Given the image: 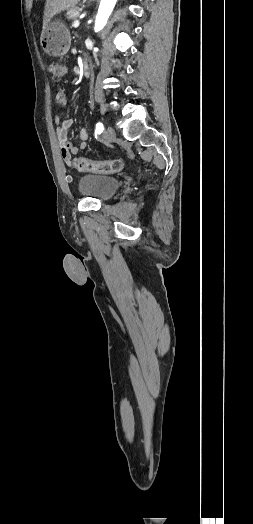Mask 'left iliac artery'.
<instances>
[{
    "mask_svg": "<svg viewBox=\"0 0 253 524\" xmlns=\"http://www.w3.org/2000/svg\"><path fill=\"white\" fill-rule=\"evenodd\" d=\"M103 130H104L103 124L100 123V122H98V123L96 124L95 133H97V134H101V133L103 132Z\"/></svg>",
    "mask_w": 253,
    "mask_h": 524,
    "instance_id": "obj_1",
    "label": "left iliac artery"
}]
</instances>
